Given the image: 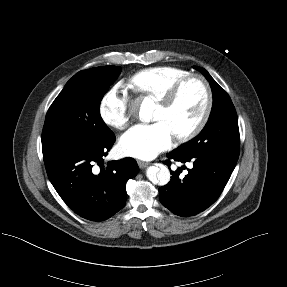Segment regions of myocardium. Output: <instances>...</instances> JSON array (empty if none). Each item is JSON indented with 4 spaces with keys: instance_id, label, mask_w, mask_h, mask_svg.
<instances>
[{
    "instance_id": "f54148a6",
    "label": "myocardium",
    "mask_w": 287,
    "mask_h": 287,
    "mask_svg": "<svg viewBox=\"0 0 287 287\" xmlns=\"http://www.w3.org/2000/svg\"><path fill=\"white\" fill-rule=\"evenodd\" d=\"M192 80H197L202 84V86L205 90V94H206V104H205L204 111H203L200 119L198 120V122L187 132L175 136V139L178 142H187V141L193 139L206 126V124L210 118V115H211V112L213 109V103H214L213 92H212L210 84L202 75L189 74V75L183 77L182 79H180L179 81H177L169 89V91L160 100L157 101L158 105L160 107H162L165 110H169L176 103V101H177L182 89L184 88V86Z\"/></svg>"
}]
</instances>
